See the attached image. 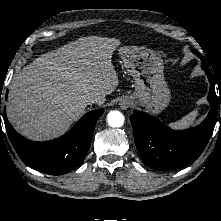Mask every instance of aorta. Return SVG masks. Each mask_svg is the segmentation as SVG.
I'll list each match as a JSON object with an SVG mask.
<instances>
[{
	"label": "aorta",
	"mask_w": 221,
	"mask_h": 221,
	"mask_svg": "<svg viewBox=\"0 0 221 221\" xmlns=\"http://www.w3.org/2000/svg\"><path fill=\"white\" fill-rule=\"evenodd\" d=\"M108 123L111 127H121L124 124V116L117 110L110 111L107 115Z\"/></svg>",
	"instance_id": "1"
}]
</instances>
